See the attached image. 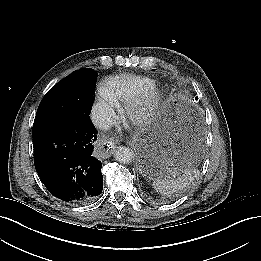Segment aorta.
I'll list each match as a JSON object with an SVG mask.
<instances>
[{
  "label": "aorta",
  "mask_w": 261,
  "mask_h": 261,
  "mask_svg": "<svg viewBox=\"0 0 261 261\" xmlns=\"http://www.w3.org/2000/svg\"><path fill=\"white\" fill-rule=\"evenodd\" d=\"M133 151L126 146H119L114 152L115 160L119 163L129 164L133 159Z\"/></svg>",
  "instance_id": "1"
}]
</instances>
